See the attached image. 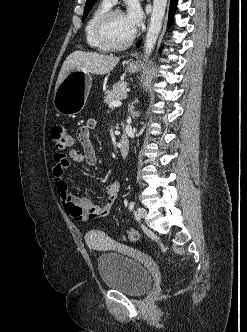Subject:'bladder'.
I'll return each mask as SVG.
<instances>
[{"label":"bladder","mask_w":247,"mask_h":332,"mask_svg":"<svg viewBox=\"0 0 247 332\" xmlns=\"http://www.w3.org/2000/svg\"><path fill=\"white\" fill-rule=\"evenodd\" d=\"M95 237L86 240L91 244ZM97 267L105 287L128 296H140L152 285L149 259L142 253L106 252L98 257Z\"/></svg>","instance_id":"obj_1"}]
</instances>
